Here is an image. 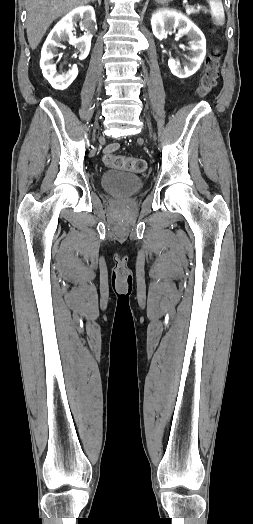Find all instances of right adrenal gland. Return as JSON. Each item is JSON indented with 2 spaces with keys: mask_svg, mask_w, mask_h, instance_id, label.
<instances>
[{
  "mask_svg": "<svg viewBox=\"0 0 253 524\" xmlns=\"http://www.w3.org/2000/svg\"><path fill=\"white\" fill-rule=\"evenodd\" d=\"M98 1L99 6H101V0H93V2Z\"/></svg>",
  "mask_w": 253,
  "mask_h": 524,
  "instance_id": "right-adrenal-gland-1",
  "label": "right adrenal gland"
}]
</instances>
